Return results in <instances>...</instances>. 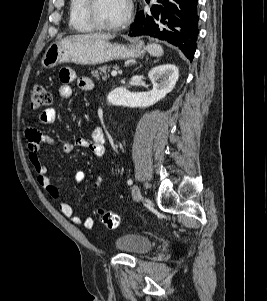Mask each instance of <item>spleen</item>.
Instances as JSON below:
<instances>
[{"instance_id": "spleen-1", "label": "spleen", "mask_w": 267, "mask_h": 301, "mask_svg": "<svg viewBox=\"0 0 267 301\" xmlns=\"http://www.w3.org/2000/svg\"><path fill=\"white\" fill-rule=\"evenodd\" d=\"M146 49L153 57H161L164 54V50L162 46L159 44H155V43L148 44Z\"/></svg>"}]
</instances>
